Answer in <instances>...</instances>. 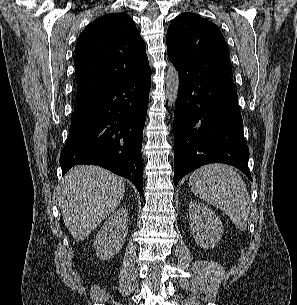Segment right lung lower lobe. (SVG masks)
<instances>
[{
    "label": "right lung lower lobe",
    "mask_w": 297,
    "mask_h": 305,
    "mask_svg": "<svg viewBox=\"0 0 297 305\" xmlns=\"http://www.w3.org/2000/svg\"><path fill=\"white\" fill-rule=\"evenodd\" d=\"M150 86L151 68L77 103L60 155L63 175L76 164H96L129 179L143 194L141 147Z\"/></svg>",
    "instance_id": "right-lung-lower-lobe-1"
}]
</instances>
